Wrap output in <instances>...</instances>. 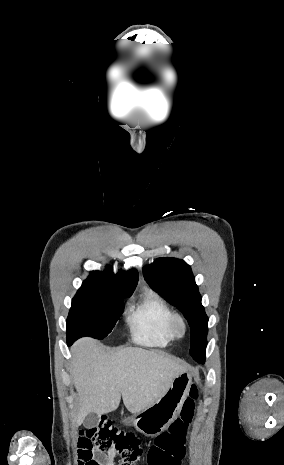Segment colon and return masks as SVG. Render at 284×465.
Wrapping results in <instances>:
<instances>
[{"label":"colon","mask_w":284,"mask_h":465,"mask_svg":"<svg viewBox=\"0 0 284 465\" xmlns=\"http://www.w3.org/2000/svg\"><path fill=\"white\" fill-rule=\"evenodd\" d=\"M200 396V387L190 386L185 404L181 405L179 421H173L166 437L158 435L156 442L162 446H150L148 465H180L187 453L186 441L191 435L190 428L194 419L192 406ZM173 438V439H171ZM76 465H101L93 459V449L100 452H118L123 458L122 465H131L143 455L141 439L134 432H125L109 422L89 426L80 430L78 435ZM86 450L88 452H84Z\"/></svg>","instance_id":"colon-1"}]
</instances>
